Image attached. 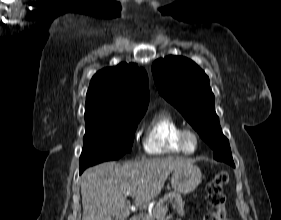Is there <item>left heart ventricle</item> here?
<instances>
[{"label": "left heart ventricle", "mask_w": 281, "mask_h": 220, "mask_svg": "<svg viewBox=\"0 0 281 220\" xmlns=\"http://www.w3.org/2000/svg\"><path fill=\"white\" fill-rule=\"evenodd\" d=\"M188 144H189V147L192 148L194 146V141L192 139H190Z\"/></svg>", "instance_id": "b2bd125f"}]
</instances>
